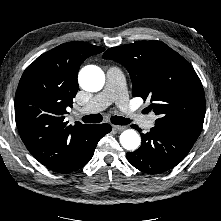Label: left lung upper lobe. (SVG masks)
<instances>
[{"label": "left lung upper lobe", "instance_id": "5c2ea615", "mask_svg": "<svg viewBox=\"0 0 221 221\" xmlns=\"http://www.w3.org/2000/svg\"><path fill=\"white\" fill-rule=\"evenodd\" d=\"M104 59L124 65L134 97H147L158 119L155 126L196 139L205 117L202 83L192 66L161 41H138L108 49Z\"/></svg>", "mask_w": 221, "mask_h": 221}]
</instances>
